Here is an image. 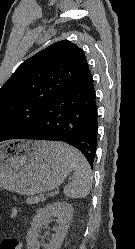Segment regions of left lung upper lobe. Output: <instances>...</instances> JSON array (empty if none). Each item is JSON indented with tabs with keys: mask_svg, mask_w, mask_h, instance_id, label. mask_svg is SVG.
<instances>
[{
	"mask_svg": "<svg viewBox=\"0 0 135 249\" xmlns=\"http://www.w3.org/2000/svg\"><path fill=\"white\" fill-rule=\"evenodd\" d=\"M89 74L83 50L68 40L23 62L0 89V142L31 132L45 108Z\"/></svg>",
	"mask_w": 135,
	"mask_h": 249,
	"instance_id": "5c2ea615",
	"label": "left lung upper lobe"
}]
</instances>
